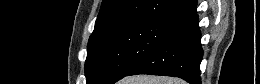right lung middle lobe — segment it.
<instances>
[{
    "mask_svg": "<svg viewBox=\"0 0 260 84\" xmlns=\"http://www.w3.org/2000/svg\"><path fill=\"white\" fill-rule=\"evenodd\" d=\"M174 25L142 22L124 26L88 43L87 84H113L141 62Z\"/></svg>",
    "mask_w": 260,
    "mask_h": 84,
    "instance_id": "obj_1",
    "label": "right lung middle lobe"
}]
</instances>
